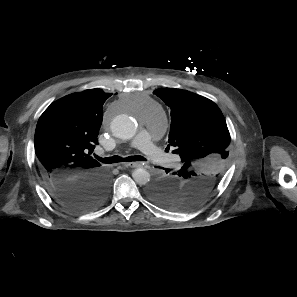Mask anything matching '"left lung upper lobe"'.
I'll list each match as a JSON object with an SVG mask.
<instances>
[{
	"instance_id": "5c2ea615",
	"label": "left lung upper lobe",
	"mask_w": 297,
	"mask_h": 297,
	"mask_svg": "<svg viewBox=\"0 0 297 297\" xmlns=\"http://www.w3.org/2000/svg\"><path fill=\"white\" fill-rule=\"evenodd\" d=\"M153 93L170 108L168 143L175 147L172 152L180 155L182 167L158 179L148 188L147 195L168 209L189 210L218 185L228 161L230 134L213 101L176 88H161Z\"/></svg>"
}]
</instances>
